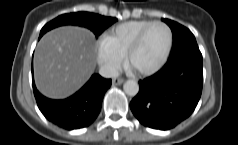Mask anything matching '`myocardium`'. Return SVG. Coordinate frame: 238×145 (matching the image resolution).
Returning a JSON list of instances; mask_svg holds the SVG:
<instances>
[{"mask_svg": "<svg viewBox=\"0 0 238 145\" xmlns=\"http://www.w3.org/2000/svg\"><path fill=\"white\" fill-rule=\"evenodd\" d=\"M155 25H161L163 26L168 33V41H167V46L166 49L163 53V55L161 56V58L158 60L157 63H155L153 66L147 68V69H142V70H134L130 67L129 62H130V58L132 56V54L140 47L146 33L148 32V30L155 26ZM172 45H173V33L171 28L162 21H152L150 24H148L146 27H144L140 33L136 36V38L134 39V41L131 43V45L129 46V48L127 49L125 55H124V61H125V65L133 70L136 74L138 75H142V76H147V75H151L155 72H157L167 61L171 49H172Z\"/></svg>", "mask_w": 238, "mask_h": 145, "instance_id": "1", "label": "myocardium"}]
</instances>
